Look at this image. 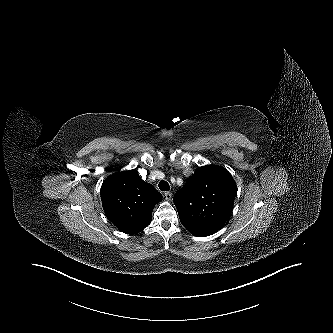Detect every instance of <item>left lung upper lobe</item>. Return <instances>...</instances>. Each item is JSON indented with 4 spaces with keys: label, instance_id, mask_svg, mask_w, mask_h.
Here are the masks:
<instances>
[{
    "label": "left lung upper lobe",
    "instance_id": "1",
    "mask_svg": "<svg viewBox=\"0 0 333 333\" xmlns=\"http://www.w3.org/2000/svg\"><path fill=\"white\" fill-rule=\"evenodd\" d=\"M236 194L232 175L222 167L207 165L196 169L173 200L183 226L201 237L223 227L233 210Z\"/></svg>",
    "mask_w": 333,
    "mask_h": 333
}]
</instances>
